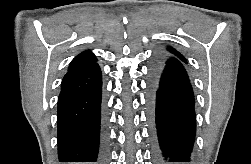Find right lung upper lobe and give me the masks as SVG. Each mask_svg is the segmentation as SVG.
<instances>
[{
    "instance_id": "right-lung-upper-lobe-1",
    "label": "right lung upper lobe",
    "mask_w": 251,
    "mask_h": 164,
    "mask_svg": "<svg viewBox=\"0 0 251 164\" xmlns=\"http://www.w3.org/2000/svg\"><path fill=\"white\" fill-rule=\"evenodd\" d=\"M97 59L95 55L90 51L86 50L76 56L69 65L68 70L76 69L82 66L96 63Z\"/></svg>"
}]
</instances>
